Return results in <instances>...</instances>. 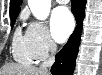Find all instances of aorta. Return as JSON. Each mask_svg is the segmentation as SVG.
I'll return each instance as SVG.
<instances>
[{"instance_id": "762f6f07", "label": "aorta", "mask_w": 102, "mask_h": 75, "mask_svg": "<svg viewBox=\"0 0 102 75\" xmlns=\"http://www.w3.org/2000/svg\"><path fill=\"white\" fill-rule=\"evenodd\" d=\"M28 5L38 20H45L50 13L51 0H28Z\"/></svg>"}]
</instances>
